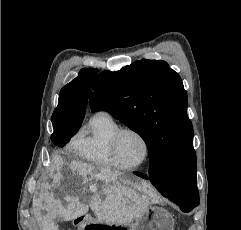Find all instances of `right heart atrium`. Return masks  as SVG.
Returning a JSON list of instances; mask_svg holds the SVG:
<instances>
[{
    "label": "right heart atrium",
    "instance_id": "d8ad5b80",
    "mask_svg": "<svg viewBox=\"0 0 241 230\" xmlns=\"http://www.w3.org/2000/svg\"><path fill=\"white\" fill-rule=\"evenodd\" d=\"M82 137L79 134H76L70 141L69 145L73 148V149H77L80 142H81Z\"/></svg>",
    "mask_w": 241,
    "mask_h": 230
}]
</instances>
